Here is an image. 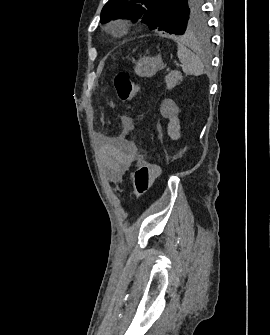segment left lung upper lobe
Here are the masks:
<instances>
[{"label":"left lung upper lobe","mask_w":270,"mask_h":335,"mask_svg":"<svg viewBox=\"0 0 270 335\" xmlns=\"http://www.w3.org/2000/svg\"><path fill=\"white\" fill-rule=\"evenodd\" d=\"M201 0H109L102 9L101 23L126 18L149 28L175 35H190L206 29Z\"/></svg>","instance_id":"obj_1"}]
</instances>
